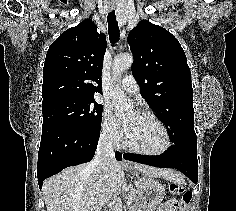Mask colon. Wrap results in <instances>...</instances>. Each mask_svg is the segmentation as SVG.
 Segmentation results:
<instances>
[{
	"mask_svg": "<svg viewBox=\"0 0 236 211\" xmlns=\"http://www.w3.org/2000/svg\"><path fill=\"white\" fill-rule=\"evenodd\" d=\"M169 191L175 196L181 197V202L185 205H188L192 200V191L191 189L181 183H171L169 185ZM164 211H170L169 208H165Z\"/></svg>",
	"mask_w": 236,
	"mask_h": 211,
	"instance_id": "obj_1",
	"label": "colon"
}]
</instances>
